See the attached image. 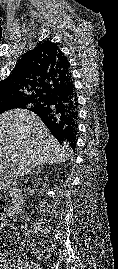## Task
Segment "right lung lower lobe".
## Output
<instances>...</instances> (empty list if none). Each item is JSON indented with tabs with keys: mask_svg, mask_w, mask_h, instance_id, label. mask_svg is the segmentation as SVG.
<instances>
[{
	"mask_svg": "<svg viewBox=\"0 0 118 269\" xmlns=\"http://www.w3.org/2000/svg\"><path fill=\"white\" fill-rule=\"evenodd\" d=\"M77 106L75 87L72 83L66 90L54 96L45 106L40 108L41 112L49 115L52 119L57 133L55 138L60 144L67 145L73 150L76 147Z\"/></svg>",
	"mask_w": 118,
	"mask_h": 269,
	"instance_id": "right-lung-lower-lobe-1",
	"label": "right lung lower lobe"
}]
</instances>
